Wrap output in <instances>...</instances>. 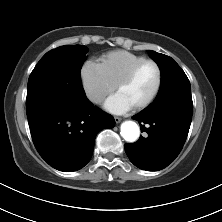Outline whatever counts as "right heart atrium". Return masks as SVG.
<instances>
[{
  "mask_svg": "<svg viewBox=\"0 0 222 222\" xmlns=\"http://www.w3.org/2000/svg\"><path fill=\"white\" fill-rule=\"evenodd\" d=\"M81 80L85 95L93 104H99L114 90V84L105 75L100 65L92 60L83 65Z\"/></svg>",
  "mask_w": 222,
  "mask_h": 222,
  "instance_id": "right-heart-atrium-1",
  "label": "right heart atrium"
}]
</instances>
